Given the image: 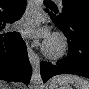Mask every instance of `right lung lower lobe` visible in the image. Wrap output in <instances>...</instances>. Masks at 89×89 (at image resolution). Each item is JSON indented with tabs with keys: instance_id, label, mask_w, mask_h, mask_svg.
I'll use <instances>...</instances> for the list:
<instances>
[{
	"instance_id": "98d812e1",
	"label": "right lung lower lobe",
	"mask_w": 89,
	"mask_h": 89,
	"mask_svg": "<svg viewBox=\"0 0 89 89\" xmlns=\"http://www.w3.org/2000/svg\"><path fill=\"white\" fill-rule=\"evenodd\" d=\"M27 0H0V7L10 6L7 18L0 22V79L28 84L32 68L24 40L18 32L4 31L6 23L19 20Z\"/></svg>"
}]
</instances>
